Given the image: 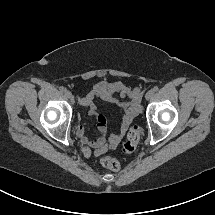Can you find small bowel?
Listing matches in <instances>:
<instances>
[{"mask_svg": "<svg viewBox=\"0 0 215 215\" xmlns=\"http://www.w3.org/2000/svg\"><path fill=\"white\" fill-rule=\"evenodd\" d=\"M120 98H129V101H120ZM100 99L104 102L117 104L123 111L121 127L116 133H109L106 118L98 112L95 100ZM80 104L88 107L89 115L97 121L98 137L89 138L85 134V126L79 124L76 127L75 134L80 139L83 147V153L86 157L93 155L98 157L104 154L108 149H114L120 141L134 117L141 111V90L139 88H130L121 81H101L96 84L93 89L80 100Z\"/></svg>", "mask_w": 215, "mask_h": 215, "instance_id": "1", "label": "small bowel"}]
</instances>
